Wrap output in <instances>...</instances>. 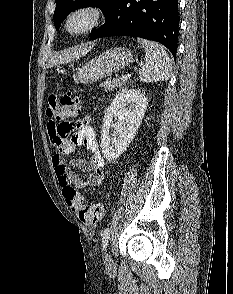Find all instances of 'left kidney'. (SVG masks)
<instances>
[{
	"instance_id": "1",
	"label": "left kidney",
	"mask_w": 233,
	"mask_h": 294,
	"mask_svg": "<svg viewBox=\"0 0 233 294\" xmlns=\"http://www.w3.org/2000/svg\"><path fill=\"white\" fill-rule=\"evenodd\" d=\"M147 98L140 91L125 88L106 109L101 129V149L108 161L116 160L131 143L147 108ZM113 117L117 123H113ZM110 128L118 137L110 136Z\"/></svg>"
}]
</instances>
